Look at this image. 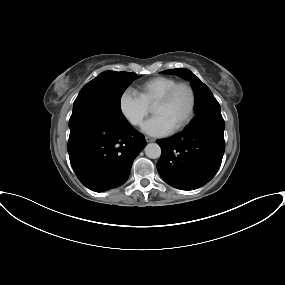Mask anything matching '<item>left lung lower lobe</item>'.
Listing matches in <instances>:
<instances>
[{
	"label": "left lung lower lobe",
	"instance_id": "obj_1",
	"mask_svg": "<svg viewBox=\"0 0 285 285\" xmlns=\"http://www.w3.org/2000/svg\"><path fill=\"white\" fill-rule=\"evenodd\" d=\"M225 122L206 117L172 137L157 140L162 153L157 163L161 177L182 190H194L218 171L225 149Z\"/></svg>",
	"mask_w": 285,
	"mask_h": 285
}]
</instances>
